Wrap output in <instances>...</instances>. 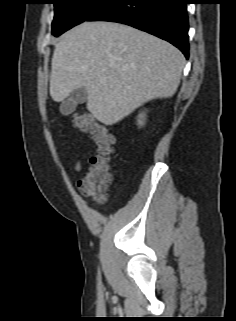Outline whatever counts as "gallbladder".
<instances>
[{"mask_svg": "<svg viewBox=\"0 0 236 321\" xmlns=\"http://www.w3.org/2000/svg\"><path fill=\"white\" fill-rule=\"evenodd\" d=\"M88 94L84 87L73 90L69 98L65 100L60 106V112L63 115H69L73 113L78 104H83L87 101Z\"/></svg>", "mask_w": 236, "mask_h": 321, "instance_id": "1", "label": "gallbladder"}]
</instances>
